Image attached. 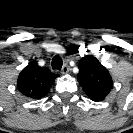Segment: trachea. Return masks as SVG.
I'll list each match as a JSON object with an SVG mask.
<instances>
[{"label": "trachea", "mask_w": 133, "mask_h": 133, "mask_svg": "<svg viewBox=\"0 0 133 133\" xmlns=\"http://www.w3.org/2000/svg\"><path fill=\"white\" fill-rule=\"evenodd\" d=\"M63 61L62 58L58 55L54 56L52 59V68L53 70H60L62 67Z\"/></svg>", "instance_id": "obj_1"}]
</instances>
